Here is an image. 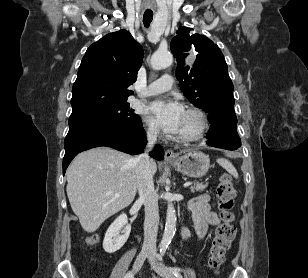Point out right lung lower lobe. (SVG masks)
Instances as JSON below:
<instances>
[{"label": "right lung lower lobe", "instance_id": "right-lung-lower-lobe-1", "mask_svg": "<svg viewBox=\"0 0 308 278\" xmlns=\"http://www.w3.org/2000/svg\"><path fill=\"white\" fill-rule=\"evenodd\" d=\"M145 139L142 125L134 128L102 125L69 128L64 141L63 174L72 159L82 151L99 146H109L134 155L143 152ZM150 155L157 160H162L164 152L160 146H156Z\"/></svg>", "mask_w": 308, "mask_h": 278}]
</instances>
